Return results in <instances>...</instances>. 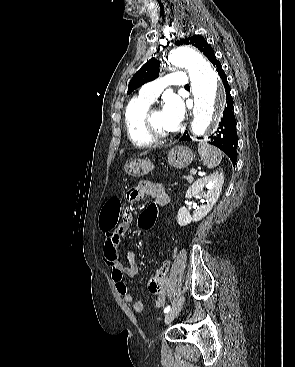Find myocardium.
Returning a JSON list of instances; mask_svg holds the SVG:
<instances>
[{
	"mask_svg": "<svg viewBox=\"0 0 295 367\" xmlns=\"http://www.w3.org/2000/svg\"><path fill=\"white\" fill-rule=\"evenodd\" d=\"M157 110L155 107H149L144 116V127L146 133L154 140V141H164L172 137L171 133H163L159 131L152 121V114Z\"/></svg>",
	"mask_w": 295,
	"mask_h": 367,
	"instance_id": "myocardium-1",
	"label": "myocardium"
}]
</instances>
